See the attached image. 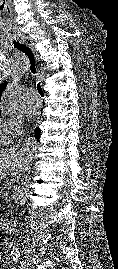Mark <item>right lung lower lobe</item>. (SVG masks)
I'll list each match as a JSON object with an SVG mask.
<instances>
[{"label": "right lung lower lobe", "instance_id": "obj_1", "mask_svg": "<svg viewBox=\"0 0 118 269\" xmlns=\"http://www.w3.org/2000/svg\"><path fill=\"white\" fill-rule=\"evenodd\" d=\"M36 139L39 140L40 137V130L39 128L36 129V135H35Z\"/></svg>", "mask_w": 118, "mask_h": 269}]
</instances>
